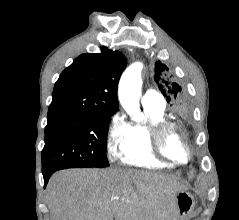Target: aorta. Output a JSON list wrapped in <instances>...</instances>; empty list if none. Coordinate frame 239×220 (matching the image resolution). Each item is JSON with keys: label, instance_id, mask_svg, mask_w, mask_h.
<instances>
[{"label": "aorta", "instance_id": "1", "mask_svg": "<svg viewBox=\"0 0 239 220\" xmlns=\"http://www.w3.org/2000/svg\"><path fill=\"white\" fill-rule=\"evenodd\" d=\"M141 63L130 65L123 73L118 89V97L122 107L131 116L133 120H140L139 100L141 96Z\"/></svg>", "mask_w": 239, "mask_h": 220}]
</instances>
